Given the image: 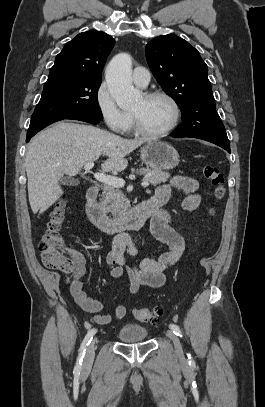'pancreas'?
I'll use <instances>...</instances> for the list:
<instances>
[{
	"mask_svg": "<svg viewBox=\"0 0 265 407\" xmlns=\"http://www.w3.org/2000/svg\"><path fill=\"white\" fill-rule=\"evenodd\" d=\"M135 170L132 169V172ZM136 173L146 175L144 180H148L152 185L156 186L162 182H166L170 174L162 170L140 168ZM101 206L110 212L113 216L122 215L130 206L128 199L119 187H112L109 185L103 186V193L101 199Z\"/></svg>",
	"mask_w": 265,
	"mask_h": 407,
	"instance_id": "pancreas-1",
	"label": "pancreas"
}]
</instances>
